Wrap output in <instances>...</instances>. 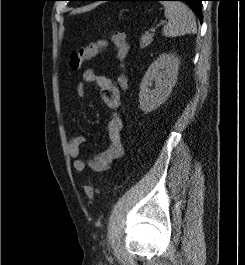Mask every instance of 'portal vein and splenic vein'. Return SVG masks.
Wrapping results in <instances>:
<instances>
[{
    "mask_svg": "<svg viewBox=\"0 0 245 265\" xmlns=\"http://www.w3.org/2000/svg\"><path fill=\"white\" fill-rule=\"evenodd\" d=\"M161 24H164V21H163L162 23L158 24V25H157V27L161 26ZM157 27H156V28H153V29H151V32H152V33H154V32L156 31Z\"/></svg>",
    "mask_w": 245,
    "mask_h": 265,
    "instance_id": "portal-vein-and-splenic-vein-1",
    "label": "portal vein and splenic vein"
}]
</instances>
